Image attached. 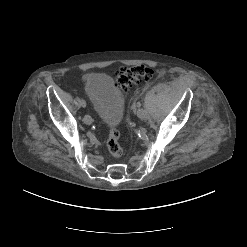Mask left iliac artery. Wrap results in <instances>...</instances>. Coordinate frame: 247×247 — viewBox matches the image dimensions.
I'll list each match as a JSON object with an SVG mask.
<instances>
[{"label": "left iliac artery", "instance_id": "left-iliac-artery-1", "mask_svg": "<svg viewBox=\"0 0 247 247\" xmlns=\"http://www.w3.org/2000/svg\"><path fill=\"white\" fill-rule=\"evenodd\" d=\"M138 113L143 115L145 113V110H143L142 108L138 110Z\"/></svg>", "mask_w": 247, "mask_h": 247}]
</instances>
